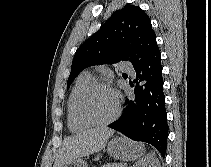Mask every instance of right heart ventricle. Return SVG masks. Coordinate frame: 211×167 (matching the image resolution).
<instances>
[{"mask_svg": "<svg viewBox=\"0 0 211 167\" xmlns=\"http://www.w3.org/2000/svg\"><path fill=\"white\" fill-rule=\"evenodd\" d=\"M92 80L89 72H82L76 79L67 100V122L70 130L74 132L82 131L89 125L80 121L75 114V100L80 90Z\"/></svg>", "mask_w": 211, "mask_h": 167, "instance_id": "e07e8e85", "label": "right heart ventricle"}]
</instances>
